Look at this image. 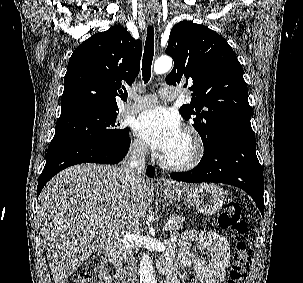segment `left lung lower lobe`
Segmentation results:
<instances>
[{
    "label": "left lung lower lobe",
    "instance_id": "left-lung-lower-lobe-1",
    "mask_svg": "<svg viewBox=\"0 0 303 283\" xmlns=\"http://www.w3.org/2000/svg\"><path fill=\"white\" fill-rule=\"evenodd\" d=\"M173 180L230 184L247 192L264 214V179L256 156L254 132L234 131L218 137L204 149L197 167L188 172L171 173Z\"/></svg>",
    "mask_w": 303,
    "mask_h": 283
}]
</instances>
